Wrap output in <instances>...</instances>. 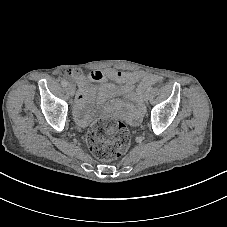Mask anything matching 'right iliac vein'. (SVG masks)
Segmentation results:
<instances>
[{"instance_id": "right-iliac-vein-1", "label": "right iliac vein", "mask_w": 227, "mask_h": 227, "mask_svg": "<svg viewBox=\"0 0 227 227\" xmlns=\"http://www.w3.org/2000/svg\"><path fill=\"white\" fill-rule=\"evenodd\" d=\"M68 90H69V92H70V94L73 96L74 95V93H75V87H74V85H69L68 86Z\"/></svg>"}]
</instances>
